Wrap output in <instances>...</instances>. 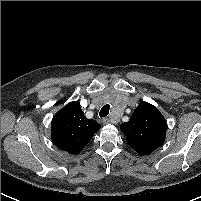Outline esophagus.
I'll list each match as a JSON object with an SVG mask.
<instances>
[{
    "mask_svg": "<svg viewBox=\"0 0 201 201\" xmlns=\"http://www.w3.org/2000/svg\"><path fill=\"white\" fill-rule=\"evenodd\" d=\"M117 121H118V120H117ZM102 122H103L104 125H107V124L111 123L112 121H110L109 118H103V119H102ZM113 122H115V121H113Z\"/></svg>",
    "mask_w": 201,
    "mask_h": 201,
    "instance_id": "34e87169",
    "label": "esophagus"
}]
</instances>
